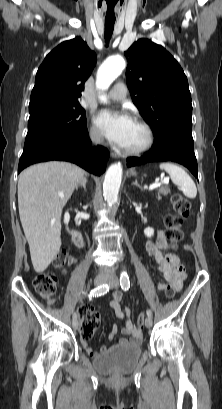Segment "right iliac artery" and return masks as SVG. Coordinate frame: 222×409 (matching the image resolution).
<instances>
[{
	"instance_id": "right-iliac-artery-1",
	"label": "right iliac artery",
	"mask_w": 222,
	"mask_h": 409,
	"mask_svg": "<svg viewBox=\"0 0 222 409\" xmlns=\"http://www.w3.org/2000/svg\"><path fill=\"white\" fill-rule=\"evenodd\" d=\"M109 289H110L109 285L103 284L101 286H98V287L92 289L90 291V293L88 294V297L91 299L92 297L102 296V295L106 294L109 291ZM76 319H77V314L74 313L73 314V320H76Z\"/></svg>"
}]
</instances>
